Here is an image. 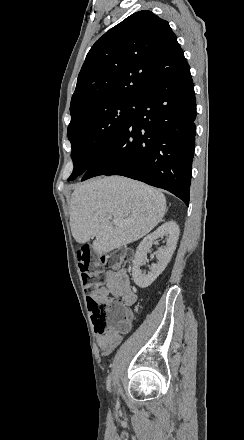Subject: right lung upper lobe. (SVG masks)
<instances>
[{"instance_id":"1","label":"right lung upper lobe","mask_w":244,"mask_h":440,"mask_svg":"<svg viewBox=\"0 0 244 440\" xmlns=\"http://www.w3.org/2000/svg\"><path fill=\"white\" fill-rule=\"evenodd\" d=\"M186 62L167 21L136 12L99 38L77 79L70 110L107 98H141L163 72Z\"/></svg>"}]
</instances>
